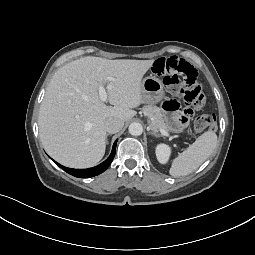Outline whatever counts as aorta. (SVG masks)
<instances>
[{"label":"aorta","mask_w":255,"mask_h":255,"mask_svg":"<svg viewBox=\"0 0 255 255\" xmlns=\"http://www.w3.org/2000/svg\"><path fill=\"white\" fill-rule=\"evenodd\" d=\"M129 133L133 136H139L143 132V127L140 123L133 122L129 125Z\"/></svg>","instance_id":"1"}]
</instances>
